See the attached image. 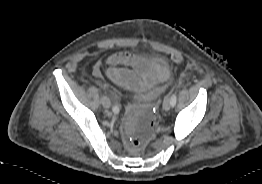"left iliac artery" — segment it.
<instances>
[{"mask_svg": "<svg viewBox=\"0 0 262 184\" xmlns=\"http://www.w3.org/2000/svg\"><path fill=\"white\" fill-rule=\"evenodd\" d=\"M176 101H177V95L174 93L172 96H171V99H170V103H171V106L174 107L176 105Z\"/></svg>", "mask_w": 262, "mask_h": 184, "instance_id": "44dca946", "label": "left iliac artery"}]
</instances>
